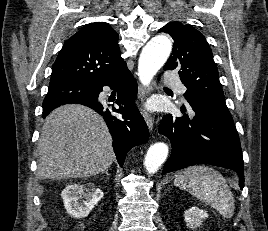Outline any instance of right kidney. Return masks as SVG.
I'll use <instances>...</instances> for the list:
<instances>
[{
    "instance_id": "right-kidney-1",
    "label": "right kidney",
    "mask_w": 268,
    "mask_h": 231,
    "mask_svg": "<svg viewBox=\"0 0 268 231\" xmlns=\"http://www.w3.org/2000/svg\"><path fill=\"white\" fill-rule=\"evenodd\" d=\"M103 195V192L92 183L70 184L61 193L67 213L75 218L88 216Z\"/></svg>"
}]
</instances>
